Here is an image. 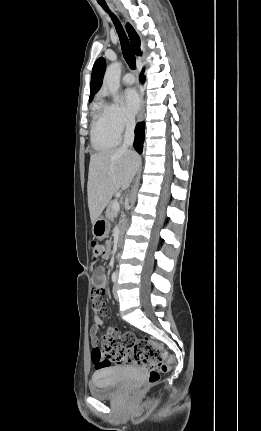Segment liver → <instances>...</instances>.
Segmentation results:
<instances>
[{"mask_svg":"<svg viewBox=\"0 0 261 431\" xmlns=\"http://www.w3.org/2000/svg\"><path fill=\"white\" fill-rule=\"evenodd\" d=\"M140 165L139 155L117 148L91 155L87 183L88 207L92 224L102 214L112 196L126 190Z\"/></svg>","mask_w":261,"mask_h":431,"instance_id":"1","label":"liver"}]
</instances>
